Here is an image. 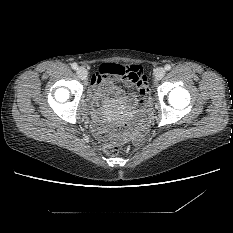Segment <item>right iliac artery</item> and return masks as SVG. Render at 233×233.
<instances>
[{
  "instance_id": "obj_1",
  "label": "right iliac artery",
  "mask_w": 233,
  "mask_h": 233,
  "mask_svg": "<svg viewBox=\"0 0 233 233\" xmlns=\"http://www.w3.org/2000/svg\"><path fill=\"white\" fill-rule=\"evenodd\" d=\"M71 67H72L73 69H77L78 65H77L76 63H72V64H71Z\"/></svg>"
}]
</instances>
